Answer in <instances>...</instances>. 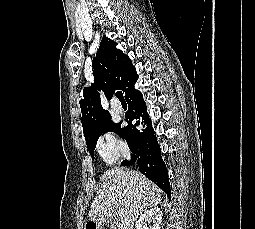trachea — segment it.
Instances as JSON below:
<instances>
[{"label":"trachea","instance_id":"1","mask_svg":"<svg viewBox=\"0 0 255 229\" xmlns=\"http://www.w3.org/2000/svg\"><path fill=\"white\" fill-rule=\"evenodd\" d=\"M116 97H117L121 102L125 101V98H124L123 93H122L121 91H117V92H116Z\"/></svg>","mask_w":255,"mask_h":229}]
</instances>
